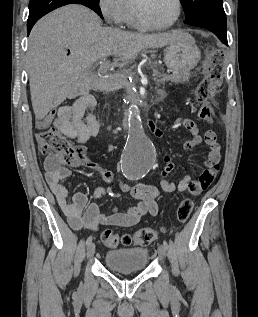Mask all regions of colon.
I'll list each match as a JSON object with an SVG mask.
<instances>
[{"instance_id": "5ec220e1", "label": "colon", "mask_w": 258, "mask_h": 317, "mask_svg": "<svg viewBox=\"0 0 258 317\" xmlns=\"http://www.w3.org/2000/svg\"><path fill=\"white\" fill-rule=\"evenodd\" d=\"M219 81L218 71L213 69L194 91V101L197 103V116L201 120L213 121L215 111L208 100L211 98L212 89ZM39 151L42 154L56 156L65 164L78 166L85 158L83 147L75 145L65 139L62 134L54 128L42 130L37 137ZM194 209L192 199H184L177 207V219L185 222ZM158 231L152 228H142L134 234L119 235L112 230H105L102 233V240L109 248H116L119 245L128 247L131 245L146 246L158 238Z\"/></svg>"}]
</instances>
